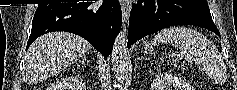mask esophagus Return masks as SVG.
<instances>
[{
    "label": "esophagus",
    "mask_w": 237,
    "mask_h": 90,
    "mask_svg": "<svg viewBox=\"0 0 237 90\" xmlns=\"http://www.w3.org/2000/svg\"><path fill=\"white\" fill-rule=\"evenodd\" d=\"M121 8H122L123 21L126 22L128 17H129L131 8H132L131 1H128V0L127 1H122Z\"/></svg>",
    "instance_id": "obj_1"
}]
</instances>
